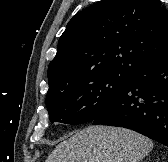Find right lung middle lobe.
Wrapping results in <instances>:
<instances>
[{"mask_svg": "<svg viewBox=\"0 0 168 162\" xmlns=\"http://www.w3.org/2000/svg\"><path fill=\"white\" fill-rule=\"evenodd\" d=\"M130 75L105 73L86 76L48 91L49 119L65 124L93 121L117 96Z\"/></svg>", "mask_w": 168, "mask_h": 162, "instance_id": "dd1d6c3e", "label": "right lung middle lobe"}]
</instances>
